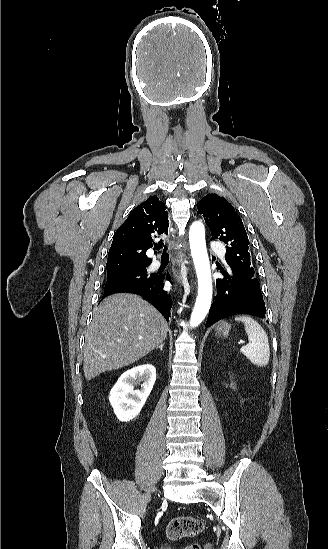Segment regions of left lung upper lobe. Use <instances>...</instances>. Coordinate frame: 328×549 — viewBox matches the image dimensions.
Segmentation results:
<instances>
[{
	"instance_id": "left-lung-upper-lobe-1",
	"label": "left lung upper lobe",
	"mask_w": 328,
	"mask_h": 549,
	"mask_svg": "<svg viewBox=\"0 0 328 549\" xmlns=\"http://www.w3.org/2000/svg\"><path fill=\"white\" fill-rule=\"evenodd\" d=\"M197 208V213L205 217L211 230V239H219L227 245L225 259L229 267L254 276L248 236L234 207L217 194H207L197 203Z\"/></svg>"
}]
</instances>
